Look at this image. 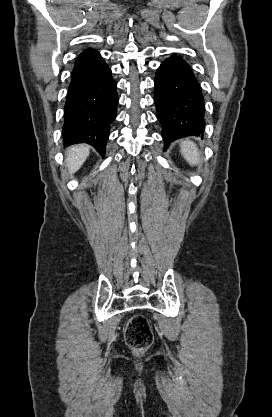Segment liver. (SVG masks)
I'll return each instance as SVG.
<instances>
[{
  "label": "liver",
  "mask_w": 272,
  "mask_h": 417,
  "mask_svg": "<svg viewBox=\"0 0 272 417\" xmlns=\"http://www.w3.org/2000/svg\"><path fill=\"white\" fill-rule=\"evenodd\" d=\"M65 155L66 167L69 174H73L81 168L89 156V147L87 145L72 146L66 151Z\"/></svg>",
  "instance_id": "liver-1"
}]
</instances>
